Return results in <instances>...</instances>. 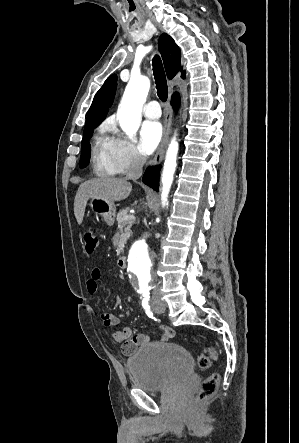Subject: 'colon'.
<instances>
[{
  "label": "colon",
  "mask_w": 299,
  "mask_h": 443,
  "mask_svg": "<svg viewBox=\"0 0 299 443\" xmlns=\"http://www.w3.org/2000/svg\"><path fill=\"white\" fill-rule=\"evenodd\" d=\"M83 246L87 253H93L98 246V237L91 228H84L81 232ZM218 358L217 351L212 347H207L198 356L197 364L201 370H207L213 361ZM220 381L217 373L209 375L201 384L196 397V402L202 404L210 400L216 393Z\"/></svg>",
  "instance_id": "obj_1"
}]
</instances>
